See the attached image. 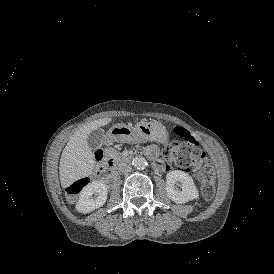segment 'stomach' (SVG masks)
I'll return each mask as SVG.
<instances>
[{"label":"stomach","mask_w":274,"mask_h":274,"mask_svg":"<svg viewBox=\"0 0 274 274\" xmlns=\"http://www.w3.org/2000/svg\"><path fill=\"white\" fill-rule=\"evenodd\" d=\"M107 141L134 142L139 140H159L165 142L166 133L153 121L143 120L134 128L125 124L113 125L107 132Z\"/></svg>","instance_id":"0dacf381"}]
</instances>
